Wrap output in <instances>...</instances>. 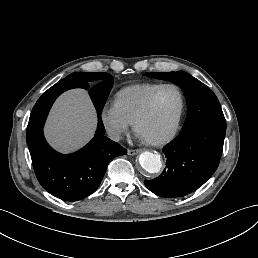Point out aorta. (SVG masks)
Instances as JSON below:
<instances>
[{
	"instance_id": "aorta-1",
	"label": "aorta",
	"mask_w": 258,
	"mask_h": 258,
	"mask_svg": "<svg viewBox=\"0 0 258 258\" xmlns=\"http://www.w3.org/2000/svg\"><path fill=\"white\" fill-rule=\"evenodd\" d=\"M139 164L148 173H158L162 168L160 155L145 151L139 156Z\"/></svg>"
}]
</instances>
